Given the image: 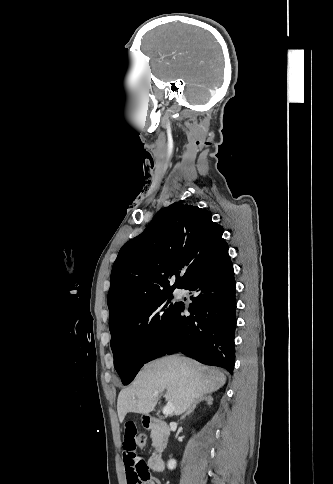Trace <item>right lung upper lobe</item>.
<instances>
[{"label": "right lung upper lobe", "mask_w": 333, "mask_h": 484, "mask_svg": "<svg viewBox=\"0 0 333 484\" xmlns=\"http://www.w3.org/2000/svg\"><path fill=\"white\" fill-rule=\"evenodd\" d=\"M223 232L212 222L210 211L194 205L175 202L158 211L147 229L120 249L113 264L109 326L137 307L183 288L227 244Z\"/></svg>", "instance_id": "1"}]
</instances>
